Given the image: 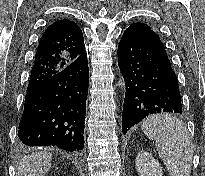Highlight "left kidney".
<instances>
[{
    "mask_svg": "<svg viewBox=\"0 0 205 176\" xmlns=\"http://www.w3.org/2000/svg\"><path fill=\"white\" fill-rule=\"evenodd\" d=\"M135 162L140 176H163L161 165L150 153L140 151L136 156Z\"/></svg>",
    "mask_w": 205,
    "mask_h": 176,
    "instance_id": "left-kidney-1",
    "label": "left kidney"
}]
</instances>
